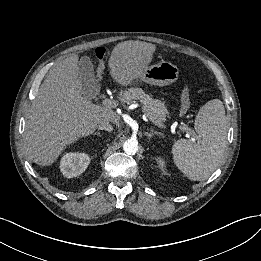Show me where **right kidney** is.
Segmentation results:
<instances>
[{"mask_svg":"<svg viewBox=\"0 0 261 261\" xmlns=\"http://www.w3.org/2000/svg\"><path fill=\"white\" fill-rule=\"evenodd\" d=\"M90 163L86 153L70 152L63 155L60 161V170L67 178L77 177L82 174Z\"/></svg>","mask_w":261,"mask_h":261,"instance_id":"obj_1","label":"right kidney"}]
</instances>
